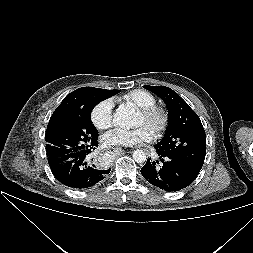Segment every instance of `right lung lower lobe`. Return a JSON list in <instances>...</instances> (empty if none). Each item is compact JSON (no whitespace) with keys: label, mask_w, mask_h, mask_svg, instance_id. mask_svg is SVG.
<instances>
[{"label":"right lung lower lobe","mask_w":253,"mask_h":253,"mask_svg":"<svg viewBox=\"0 0 253 253\" xmlns=\"http://www.w3.org/2000/svg\"><path fill=\"white\" fill-rule=\"evenodd\" d=\"M97 139L87 149L61 157H48L51 171L60 183L74 189H85L109 174L111 168H101L93 161L92 152L98 147Z\"/></svg>","instance_id":"98d812e1"}]
</instances>
